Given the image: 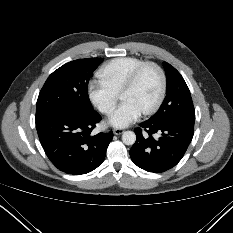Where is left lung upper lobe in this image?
<instances>
[{
  "mask_svg": "<svg viewBox=\"0 0 233 233\" xmlns=\"http://www.w3.org/2000/svg\"><path fill=\"white\" fill-rule=\"evenodd\" d=\"M167 94L160 109L149 121L164 123L175 119L195 120L194 105L189 88L181 74L170 64L164 63Z\"/></svg>",
  "mask_w": 233,
  "mask_h": 233,
  "instance_id": "1",
  "label": "left lung upper lobe"
}]
</instances>
